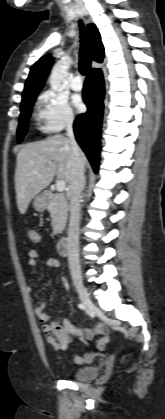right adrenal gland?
Returning <instances> with one entry per match:
<instances>
[{
	"instance_id": "right-adrenal-gland-1",
	"label": "right adrenal gland",
	"mask_w": 165,
	"mask_h": 419,
	"mask_svg": "<svg viewBox=\"0 0 165 419\" xmlns=\"http://www.w3.org/2000/svg\"><path fill=\"white\" fill-rule=\"evenodd\" d=\"M83 184H84V187H85V184H86V176L84 177Z\"/></svg>"
}]
</instances>
